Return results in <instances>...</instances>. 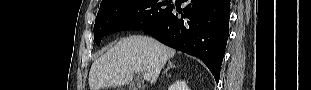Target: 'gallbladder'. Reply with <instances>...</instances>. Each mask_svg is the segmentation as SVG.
Instances as JSON below:
<instances>
[{"instance_id":"bac80fb5","label":"gallbladder","mask_w":311,"mask_h":90,"mask_svg":"<svg viewBox=\"0 0 311 90\" xmlns=\"http://www.w3.org/2000/svg\"><path fill=\"white\" fill-rule=\"evenodd\" d=\"M137 88L136 86L130 85V90Z\"/></svg>"}]
</instances>
